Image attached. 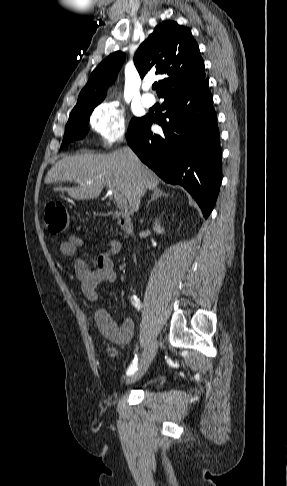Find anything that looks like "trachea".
<instances>
[{
	"label": "trachea",
	"mask_w": 287,
	"mask_h": 486,
	"mask_svg": "<svg viewBox=\"0 0 287 486\" xmlns=\"http://www.w3.org/2000/svg\"><path fill=\"white\" fill-rule=\"evenodd\" d=\"M156 87H157V84L156 83L152 85V88L153 89H156Z\"/></svg>",
	"instance_id": "1"
}]
</instances>
